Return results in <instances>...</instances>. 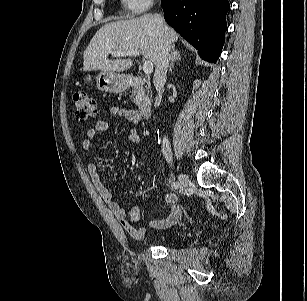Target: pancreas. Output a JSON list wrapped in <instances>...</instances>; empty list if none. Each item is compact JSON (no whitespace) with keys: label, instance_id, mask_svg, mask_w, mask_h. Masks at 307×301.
I'll return each mask as SVG.
<instances>
[{"label":"pancreas","instance_id":"1","mask_svg":"<svg viewBox=\"0 0 307 301\" xmlns=\"http://www.w3.org/2000/svg\"><path fill=\"white\" fill-rule=\"evenodd\" d=\"M145 83H146V86H145V88L148 90L149 88H150V83H149V81H144ZM133 95L135 96V100H137V90H133Z\"/></svg>","mask_w":307,"mask_h":301}]
</instances>
